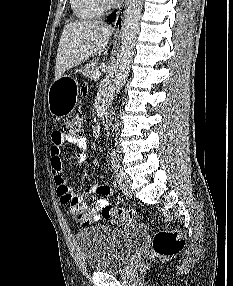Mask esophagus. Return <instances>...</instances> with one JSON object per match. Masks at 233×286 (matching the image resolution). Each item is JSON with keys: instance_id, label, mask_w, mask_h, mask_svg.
Here are the masks:
<instances>
[{"instance_id": "1", "label": "esophagus", "mask_w": 233, "mask_h": 286, "mask_svg": "<svg viewBox=\"0 0 233 286\" xmlns=\"http://www.w3.org/2000/svg\"><path fill=\"white\" fill-rule=\"evenodd\" d=\"M130 0H124L122 7L117 12V17L114 23V31L116 36H120L123 30L124 18L129 8Z\"/></svg>"}]
</instances>
